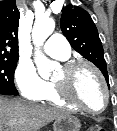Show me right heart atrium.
Here are the masks:
<instances>
[{"label":"right heart atrium","mask_w":117,"mask_h":131,"mask_svg":"<svg viewBox=\"0 0 117 131\" xmlns=\"http://www.w3.org/2000/svg\"><path fill=\"white\" fill-rule=\"evenodd\" d=\"M14 79L20 94L30 100H40L48 86V82L37 74L35 68L25 62L17 65Z\"/></svg>","instance_id":"right-heart-atrium-1"}]
</instances>
